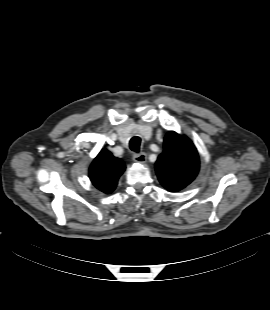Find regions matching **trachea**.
<instances>
[{"instance_id":"1","label":"trachea","mask_w":270,"mask_h":310,"mask_svg":"<svg viewBox=\"0 0 270 310\" xmlns=\"http://www.w3.org/2000/svg\"><path fill=\"white\" fill-rule=\"evenodd\" d=\"M140 143L141 139L138 136H134L129 142V147L132 151L138 153L140 151Z\"/></svg>"}]
</instances>
